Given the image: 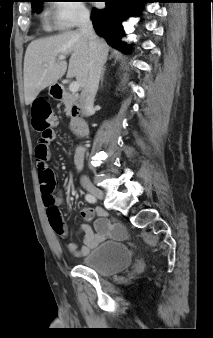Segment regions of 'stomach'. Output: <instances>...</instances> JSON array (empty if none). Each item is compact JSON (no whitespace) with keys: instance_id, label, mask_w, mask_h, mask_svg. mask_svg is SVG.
Listing matches in <instances>:
<instances>
[{"instance_id":"stomach-1","label":"stomach","mask_w":213,"mask_h":338,"mask_svg":"<svg viewBox=\"0 0 213 338\" xmlns=\"http://www.w3.org/2000/svg\"><path fill=\"white\" fill-rule=\"evenodd\" d=\"M54 85H51L50 87H49V91L51 92V89H52V87H53Z\"/></svg>"}]
</instances>
